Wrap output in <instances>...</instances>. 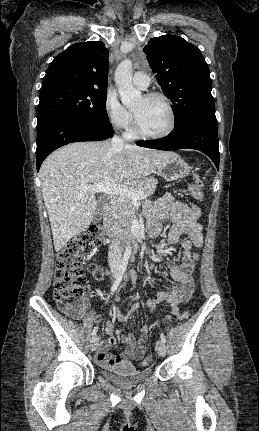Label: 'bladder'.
Returning <instances> with one entry per match:
<instances>
[{
    "label": "bladder",
    "mask_w": 259,
    "mask_h": 431,
    "mask_svg": "<svg viewBox=\"0 0 259 431\" xmlns=\"http://www.w3.org/2000/svg\"><path fill=\"white\" fill-rule=\"evenodd\" d=\"M102 374L119 386H130L147 380L152 372L150 370H138L133 365L119 364L103 369Z\"/></svg>",
    "instance_id": "31cf9c89"
}]
</instances>
